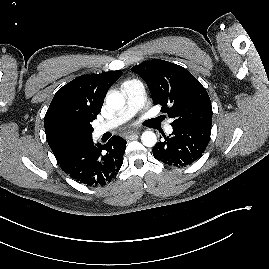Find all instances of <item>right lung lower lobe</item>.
I'll return each mask as SVG.
<instances>
[{
    "mask_svg": "<svg viewBox=\"0 0 269 269\" xmlns=\"http://www.w3.org/2000/svg\"><path fill=\"white\" fill-rule=\"evenodd\" d=\"M126 141L113 136L105 145L89 142L75 147L56 159L72 179L86 186H103L110 182L122 166Z\"/></svg>",
    "mask_w": 269,
    "mask_h": 269,
    "instance_id": "right-lung-lower-lobe-1",
    "label": "right lung lower lobe"
}]
</instances>
